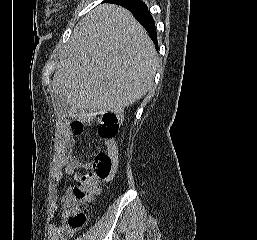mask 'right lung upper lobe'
Instances as JSON below:
<instances>
[{"instance_id":"1","label":"right lung upper lobe","mask_w":257,"mask_h":240,"mask_svg":"<svg viewBox=\"0 0 257 240\" xmlns=\"http://www.w3.org/2000/svg\"><path fill=\"white\" fill-rule=\"evenodd\" d=\"M126 1L127 0H108L109 3H114L117 5H124V4H126Z\"/></svg>"}]
</instances>
